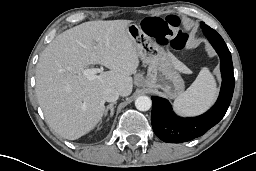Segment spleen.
Instances as JSON below:
<instances>
[{"instance_id":"obj_1","label":"spleen","mask_w":256,"mask_h":171,"mask_svg":"<svg viewBox=\"0 0 256 171\" xmlns=\"http://www.w3.org/2000/svg\"><path fill=\"white\" fill-rule=\"evenodd\" d=\"M217 96L216 82L207 67L202 68L195 81L173 103L181 115H196L205 111Z\"/></svg>"}]
</instances>
